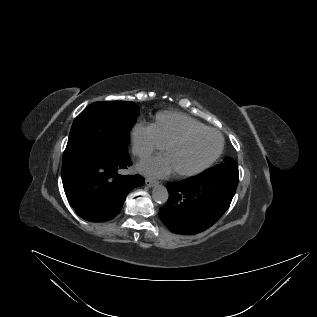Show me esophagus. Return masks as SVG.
<instances>
[{"instance_id": "esophagus-1", "label": "esophagus", "mask_w": 317, "mask_h": 317, "mask_svg": "<svg viewBox=\"0 0 317 317\" xmlns=\"http://www.w3.org/2000/svg\"><path fill=\"white\" fill-rule=\"evenodd\" d=\"M157 181L151 179V178H147L145 180V184L148 186V187H154L155 185H157Z\"/></svg>"}]
</instances>
